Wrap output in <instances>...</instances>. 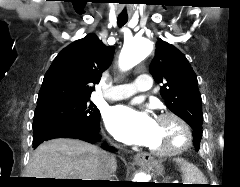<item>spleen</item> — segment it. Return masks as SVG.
I'll return each instance as SVG.
<instances>
[{"mask_svg":"<svg viewBox=\"0 0 240 187\" xmlns=\"http://www.w3.org/2000/svg\"><path fill=\"white\" fill-rule=\"evenodd\" d=\"M176 162L180 165L185 184H206L203 173L195 165L181 158H177Z\"/></svg>","mask_w":240,"mask_h":187,"instance_id":"spleen-1","label":"spleen"}]
</instances>
